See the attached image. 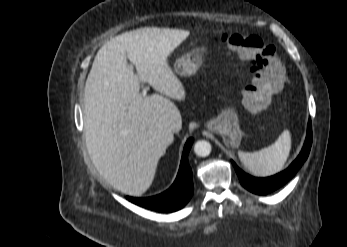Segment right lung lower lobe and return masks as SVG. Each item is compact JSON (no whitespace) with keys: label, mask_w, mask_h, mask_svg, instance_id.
Listing matches in <instances>:
<instances>
[{"label":"right lung lower lobe","mask_w":347,"mask_h":247,"mask_svg":"<svg viewBox=\"0 0 347 247\" xmlns=\"http://www.w3.org/2000/svg\"><path fill=\"white\" fill-rule=\"evenodd\" d=\"M192 143L193 139L189 138L184 146L176 180L167 191L148 198L127 196L126 199L141 207L159 212H173L184 207L192 197L194 191L192 170L188 163V153Z\"/></svg>","instance_id":"98d812e1"}]
</instances>
